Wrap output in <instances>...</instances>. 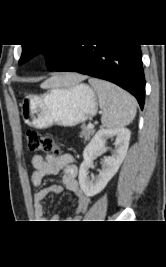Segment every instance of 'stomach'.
I'll return each instance as SVG.
<instances>
[{
  "mask_svg": "<svg viewBox=\"0 0 166 267\" xmlns=\"http://www.w3.org/2000/svg\"><path fill=\"white\" fill-rule=\"evenodd\" d=\"M23 120L44 129L52 125L75 126L97 114L95 91L87 84L52 87L41 95H29L21 105Z\"/></svg>",
  "mask_w": 166,
  "mask_h": 267,
  "instance_id": "0dacf381",
  "label": "stomach"
}]
</instances>
